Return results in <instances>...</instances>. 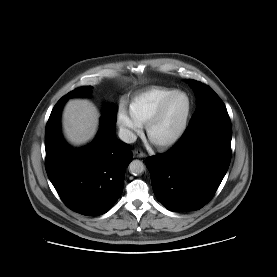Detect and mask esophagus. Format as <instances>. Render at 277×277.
I'll list each match as a JSON object with an SVG mask.
<instances>
[{
	"label": "esophagus",
	"instance_id": "34e87169",
	"mask_svg": "<svg viewBox=\"0 0 277 277\" xmlns=\"http://www.w3.org/2000/svg\"><path fill=\"white\" fill-rule=\"evenodd\" d=\"M133 154L137 158H144V157H146V154L143 153L140 149L134 150Z\"/></svg>",
	"mask_w": 277,
	"mask_h": 277
}]
</instances>
